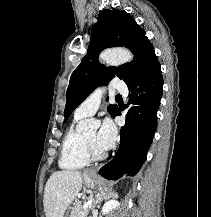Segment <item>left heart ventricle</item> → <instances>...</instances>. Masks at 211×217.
I'll list each match as a JSON object with an SVG mask.
<instances>
[{"label": "left heart ventricle", "instance_id": "obj_1", "mask_svg": "<svg viewBox=\"0 0 211 217\" xmlns=\"http://www.w3.org/2000/svg\"><path fill=\"white\" fill-rule=\"evenodd\" d=\"M96 136H97L96 131H92V132L88 133L85 137L94 145V147L97 150L102 151V149H100L96 144Z\"/></svg>", "mask_w": 211, "mask_h": 217}]
</instances>
